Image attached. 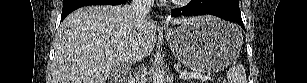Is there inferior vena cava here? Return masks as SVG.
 <instances>
[{
    "instance_id": "obj_1",
    "label": "inferior vena cava",
    "mask_w": 307,
    "mask_h": 83,
    "mask_svg": "<svg viewBox=\"0 0 307 83\" xmlns=\"http://www.w3.org/2000/svg\"><path fill=\"white\" fill-rule=\"evenodd\" d=\"M153 0H133L130 5V13L134 16L135 20L139 25L144 22H147L149 17L147 16ZM142 54L135 48L130 56V60L132 63L141 62ZM135 82L136 83H144V74L143 67L136 68L134 72Z\"/></svg>"
}]
</instances>
